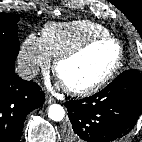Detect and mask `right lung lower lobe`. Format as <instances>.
<instances>
[{
	"mask_svg": "<svg viewBox=\"0 0 142 142\" xmlns=\"http://www.w3.org/2000/svg\"><path fill=\"white\" fill-rule=\"evenodd\" d=\"M14 70L15 65L0 61V142H19L26 116L44 103L39 85Z\"/></svg>",
	"mask_w": 142,
	"mask_h": 142,
	"instance_id": "98d812e1",
	"label": "right lung lower lobe"
}]
</instances>
